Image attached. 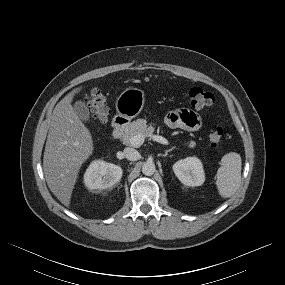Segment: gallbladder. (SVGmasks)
Segmentation results:
<instances>
[{"instance_id":"gallbladder-1","label":"gallbladder","mask_w":285,"mask_h":285,"mask_svg":"<svg viewBox=\"0 0 285 285\" xmlns=\"http://www.w3.org/2000/svg\"><path fill=\"white\" fill-rule=\"evenodd\" d=\"M74 109L81 120L86 122L90 120L89 109L83 101H76L74 104Z\"/></svg>"}]
</instances>
